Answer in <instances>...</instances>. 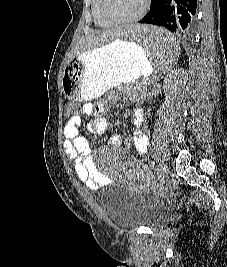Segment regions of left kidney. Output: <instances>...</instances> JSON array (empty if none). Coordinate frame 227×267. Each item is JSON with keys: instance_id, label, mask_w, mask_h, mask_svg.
Segmentation results:
<instances>
[{"instance_id": "left-kidney-1", "label": "left kidney", "mask_w": 227, "mask_h": 267, "mask_svg": "<svg viewBox=\"0 0 227 267\" xmlns=\"http://www.w3.org/2000/svg\"><path fill=\"white\" fill-rule=\"evenodd\" d=\"M187 80L188 73L183 68L174 69L167 74V77L164 78L163 89L168 102L177 97Z\"/></svg>"}]
</instances>
